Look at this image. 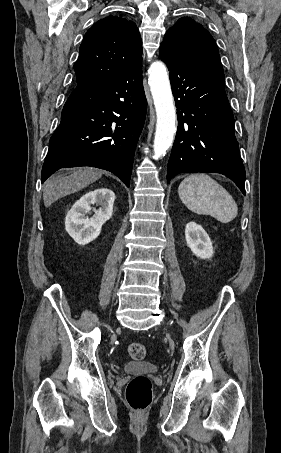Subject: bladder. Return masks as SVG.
<instances>
[{"mask_svg": "<svg viewBox=\"0 0 281 453\" xmlns=\"http://www.w3.org/2000/svg\"><path fill=\"white\" fill-rule=\"evenodd\" d=\"M124 370L130 374H152L156 372V368L147 362H128L124 366Z\"/></svg>", "mask_w": 281, "mask_h": 453, "instance_id": "1", "label": "bladder"}]
</instances>
